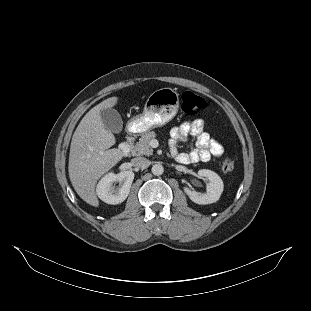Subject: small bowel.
I'll use <instances>...</instances> for the list:
<instances>
[{"label":"small bowel","mask_w":311,"mask_h":311,"mask_svg":"<svg viewBox=\"0 0 311 311\" xmlns=\"http://www.w3.org/2000/svg\"><path fill=\"white\" fill-rule=\"evenodd\" d=\"M170 136V154L180 164L207 162L212 157H220L224 153L222 145L205 131L202 119L183 122L172 128ZM190 136L196 139V147L189 152H179L178 144Z\"/></svg>","instance_id":"obj_1"}]
</instances>
